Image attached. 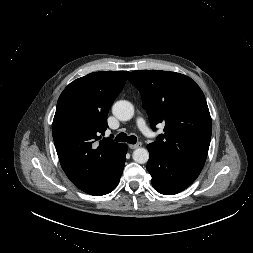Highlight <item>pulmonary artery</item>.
Instances as JSON below:
<instances>
[{
	"label": "pulmonary artery",
	"instance_id": "obj_1",
	"mask_svg": "<svg viewBox=\"0 0 253 253\" xmlns=\"http://www.w3.org/2000/svg\"><path fill=\"white\" fill-rule=\"evenodd\" d=\"M136 124H137V127L138 129L146 136H151V131L150 129L148 128L145 120L142 118V117H138L137 120H136Z\"/></svg>",
	"mask_w": 253,
	"mask_h": 253
}]
</instances>
